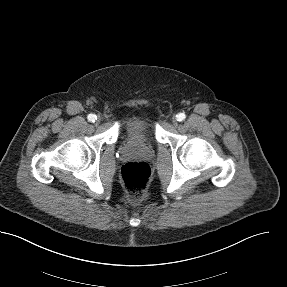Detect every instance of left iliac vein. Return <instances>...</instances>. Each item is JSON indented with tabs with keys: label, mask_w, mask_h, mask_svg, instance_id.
<instances>
[{
	"label": "left iliac vein",
	"mask_w": 287,
	"mask_h": 287,
	"mask_svg": "<svg viewBox=\"0 0 287 287\" xmlns=\"http://www.w3.org/2000/svg\"><path fill=\"white\" fill-rule=\"evenodd\" d=\"M172 124H173V126H175V127L178 125V120H177L176 117H173V118H172Z\"/></svg>",
	"instance_id": "left-iliac-vein-1"
}]
</instances>
